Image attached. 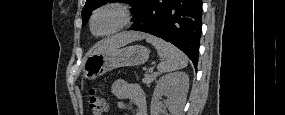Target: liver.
Returning a JSON list of instances; mask_svg holds the SVG:
<instances>
[{
  "label": "liver",
  "instance_id": "6515ba94",
  "mask_svg": "<svg viewBox=\"0 0 285 115\" xmlns=\"http://www.w3.org/2000/svg\"><path fill=\"white\" fill-rule=\"evenodd\" d=\"M147 37L144 33L139 32H123L120 34H117L113 37L107 38L104 41H102L93 51V53H105L109 52L115 48H120L122 46H125L126 44L141 40Z\"/></svg>",
  "mask_w": 285,
  "mask_h": 115
}]
</instances>
